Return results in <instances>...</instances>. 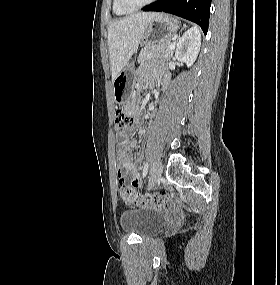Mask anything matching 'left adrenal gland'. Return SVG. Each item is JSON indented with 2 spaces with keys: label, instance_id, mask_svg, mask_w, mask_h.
I'll return each instance as SVG.
<instances>
[{
  "label": "left adrenal gland",
  "instance_id": "a2214340",
  "mask_svg": "<svg viewBox=\"0 0 280 285\" xmlns=\"http://www.w3.org/2000/svg\"><path fill=\"white\" fill-rule=\"evenodd\" d=\"M183 28H186V25L183 26ZM178 41V38L176 39V42Z\"/></svg>",
  "mask_w": 280,
  "mask_h": 285
}]
</instances>
